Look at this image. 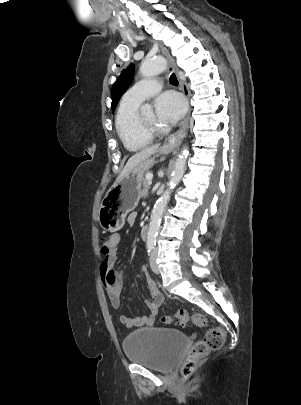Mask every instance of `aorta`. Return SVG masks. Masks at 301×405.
<instances>
[{
	"label": "aorta",
	"instance_id": "762f6f07",
	"mask_svg": "<svg viewBox=\"0 0 301 405\" xmlns=\"http://www.w3.org/2000/svg\"><path fill=\"white\" fill-rule=\"evenodd\" d=\"M166 65V61L163 58L144 60L140 66V73L144 77L158 75L165 71ZM188 155V147L184 146L175 161L174 170L168 182V188L163 192L161 197L156 201L154 205L147 233L148 249H154L156 245V237L160 229L163 212L170 200L173 189L179 184L185 173Z\"/></svg>",
	"mask_w": 301,
	"mask_h": 405
}]
</instances>
